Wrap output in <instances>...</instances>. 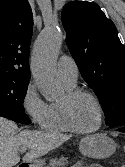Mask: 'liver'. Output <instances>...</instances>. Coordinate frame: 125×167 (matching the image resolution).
<instances>
[{
    "label": "liver",
    "mask_w": 125,
    "mask_h": 167,
    "mask_svg": "<svg viewBox=\"0 0 125 167\" xmlns=\"http://www.w3.org/2000/svg\"><path fill=\"white\" fill-rule=\"evenodd\" d=\"M15 122L0 117V167H13L19 163L18 150L28 147L30 151L23 157L24 162L37 158L59 147L71 136L61 133H48L23 130L17 133Z\"/></svg>",
    "instance_id": "obj_1"
}]
</instances>
